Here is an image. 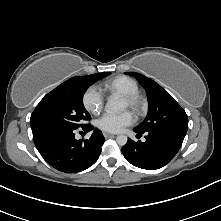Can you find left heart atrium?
Returning <instances> with one entry per match:
<instances>
[{
    "label": "left heart atrium",
    "mask_w": 221,
    "mask_h": 221,
    "mask_svg": "<svg viewBox=\"0 0 221 221\" xmlns=\"http://www.w3.org/2000/svg\"><path fill=\"white\" fill-rule=\"evenodd\" d=\"M134 122L129 111L119 114L106 113L97 120V126L106 132L117 133Z\"/></svg>",
    "instance_id": "left-heart-atrium-1"
}]
</instances>
